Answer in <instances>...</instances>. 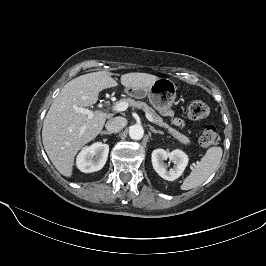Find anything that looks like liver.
Returning <instances> with one entry per match:
<instances>
[{"mask_svg":"<svg viewBox=\"0 0 266 266\" xmlns=\"http://www.w3.org/2000/svg\"><path fill=\"white\" fill-rule=\"evenodd\" d=\"M111 75L108 71H98L72 79L54 99L44 119V149L52 164L65 177L72 176L77 152L101 132L107 118L105 113L96 111L93 118L88 119L77 113L74 106H92L102 90L116 87L117 82ZM157 79L159 77L147 73H127L121 76L120 82L124 87L140 89L152 85Z\"/></svg>","mask_w":266,"mask_h":266,"instance_id":"1","label":"liver"}]
</instances>
